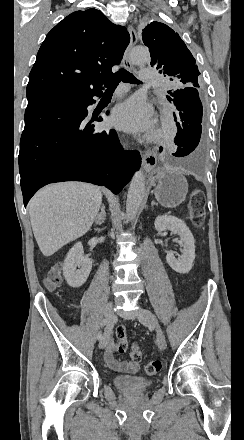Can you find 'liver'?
I'll return each mask as SVG.
<instances>
[{
  "instance_id": "obj_1",
  "label": "liver",
  "mask_w": 244,
  "mask_h": 440,
  "mask_svg": "<svg viewBox=\"0 0 244 440\" xmlns=\"http://www.w3.org/2000/svg\"><path fill=\"white\" fill-rule=\"evenodd\" d=\"M102 202L100 188L81 182L50 184L29 202L34 238L43 256H52L65 244L90 230Z\"/></svg>"
}]
</instances>
